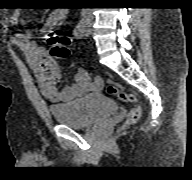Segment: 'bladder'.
<instances>
[{
    "instance_id": "1",
    "label": "bladder",
    "mask_w": 192,
    "mask_h": 180,
    "mask_svg": "<svg viewBox=\"0 0 192 180\" xmlns=\"http://www.w3.org/2000/svg\"><path fill=\"white\" fill-rule=\"evenodd\" d=\"M53 118L71 128H84L115 114L117 106L103 94H94L49 106Z\"/></svg>"
}]
</instances>
